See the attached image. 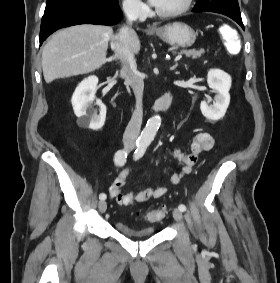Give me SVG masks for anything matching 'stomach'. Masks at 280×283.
I'll return each instance as SVG.
<instances>
[{
    "instance_id": "0dacf381",
    "label": "stomach",
    "mask_w": 280,
    "mask_h": 283,
    "mask_svg": "<svg viewBox=\"0 0 280 283\" xmlns=\"http://www.w3.org/2000/svg\"><path fill=\"white\" fill-rule=\"evenodd\" d=\"M154 32L169 45L190 47L196 40L195 31L187 24L174 22L155 28Z\"/></svg>"
}]
</instances>
